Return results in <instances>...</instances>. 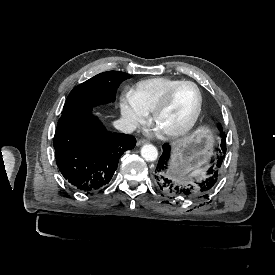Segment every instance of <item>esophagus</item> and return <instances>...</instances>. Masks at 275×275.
Segmentation results:
<instances>
[{
	"mask_svg": "<svg viewBox=\"0 0 275 275\" xmlns=\"http://www.w3.org/2000/svg\"><path fill=\"white\" fill-rule=\"evenodd\" d=\"M147 143V140L146 139H140L138 140L137 142V146H140V145H143V144H146Z\"/></svg>",
	"mask_w": 275,
	"mask_h": 275,
	"instance_id": "34e87169",
	"label": "esophagus"
}]
</instances>
